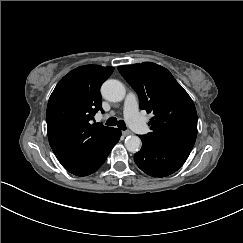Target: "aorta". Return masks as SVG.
<instances>
[{
  "label": "aorta",
  "mask_w": 243,
  "mask_h": 243,
  "mask_svg": "<svg viewBox=\"0 0 243 243\" xmlns=\"http://www.w3.org/2000/svg\"><path fill=\"white\" fill-rule=\"evenodd\" d=\"M102 96L111 102H121L126 96L125 86L118 80H107L101 89ZM125 147L129 152L135 153L141 147V140L136 135L127 136Z\"/></svg>",
  "instance_id": "aorta-1"
}]
</instances>
